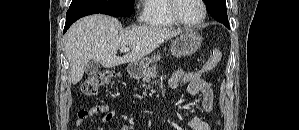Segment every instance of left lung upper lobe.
<instances>
[{"label":"left lung upper lobe","instance_id":"obj_1","mask_svg":"<svg viewBox=\"0 0 299 130\" xmlns=\"http://www.w3.org/2000/svg\"><path fill=\"white\" fill-rule=\"evenodd\" d=\"M208 12L219 22L228 21L225 0H203Z\"/></svg>","mask_w":299,"mask_h":130}]
</instances>
